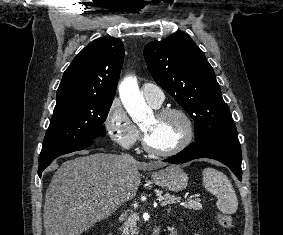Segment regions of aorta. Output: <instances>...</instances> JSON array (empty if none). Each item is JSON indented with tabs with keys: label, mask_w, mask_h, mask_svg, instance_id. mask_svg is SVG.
<instances>
[{
	"label": "aorta",
	"mask_w": 283,
	"mask_h": 235,
	"mask_svg": "<svg viewBox=\"0 0 283 235\" xmlns=\"http://www.w3.org/2000/svg\"><path fill=\"white\" fill-rule=\"evenodd\" d=\"M119 95L123 106L134 122H141L151 114V109L139 91L135 77L127 76L123 79L119 85Z\"/></svg>",
	"instance_id": "762f6f07"
}]
</instances>
